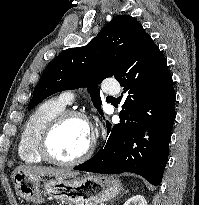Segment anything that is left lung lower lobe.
Wrapping results in <instances>:
<instances>
[{
    "instance_id": "left-lung-lower-lobe-1",
    "label": "left lung lower lobe",
    "mask_w": 199,
    "mask_h": 205,
    "mask_svg": "<svg viewBox=\"0 0 199 205\" xmlns=\"http://www.w3.org/2000/svg\"><path fill=\"white\" fill-rule=\"evenodd\" d=\"M127 93L120 123L111 128L101 150L75 170L119 174L132 172L159 185L168 160L176 117V95L167 61L144 30L116 78ZM146 129L149 140H145Z\"/></svg>"
}]
</instances>
